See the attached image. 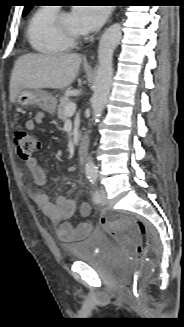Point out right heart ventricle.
<instances>
[{
	"label": "right heart ventricle",
	"mask_w": 184,
	"mask_h": 327,
	"mask_svg": "<svg viewBox=\"0 0 184 327\" xmlns=\"http://www.w3.org/2000/svg\"><path fill=\"white\" fill-rule=\"evenodd\" d=\"M56 7H40L31 16L27 27V38L31 47L43 54H60L72 45L56 29L54 20Z\"/></svg>",
	"instance_id": "1"
}]
</instances>
